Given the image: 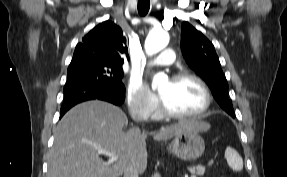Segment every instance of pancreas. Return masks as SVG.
<instances>
[{"mask_svg": "<svg viewBox=\"0 0 287 177\" xmlns=\"http://www.w3.org/2000/svg\"><path fill=\"white\" fill-rule=\"evenodd\" d=\"M188 170L192 174H197V175H203L205 172V168L203 166H194V167H189Z\"/></svg>", "mask_w": 287, "mask_h": 177, "instance_id": "obj_1", "label": "pancreas"}]
</instances>
